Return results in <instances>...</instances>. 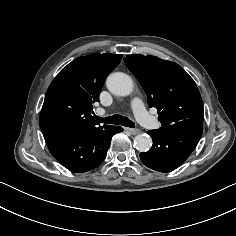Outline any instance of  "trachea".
<instances>
[{
	"mask_svg": "<svg viewBox=\"0 0 236 236\" xmlns=\"http://www.w3.org/2000/svg\"><path fill=\"white\" fill-rule=\"evenodd\" d=\"M95 118L99 122L105 123V124H121L123 126L130 127V128H134V126H135L133 121H131L129 118L123 117L121 115H113V116H109L106 118H101V117L95 116Z\"/></svg>",
	"mask_w": 236,
	"mask_h": 236,
	"instance_id": "1",
	"label": "trachea"
}]
</instances>
